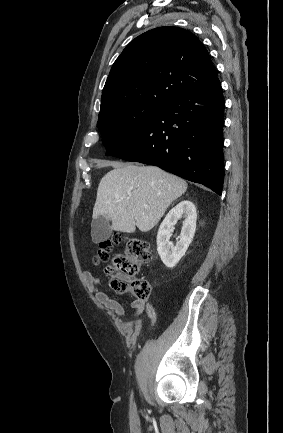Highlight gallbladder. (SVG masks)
Returning <instances> with one entry per match:
<instances>
[{"instance_id": "obj_1", "label": "gallbladder", "mask_w": 283, "mask_h": 433, "mask_svg": "<svg viewBox=\"0 0 283 433\" xmlns=\"http://www.w3.org/2000/svg\"><path fill=\"white\" fill-rule=\"evenodd\" d=\"M111 227L109 225V219L106 217H102V214H99L97 219H93L91 223V237L93 243H103V241H107L111 235Z\"/></svg>"}]
</instances>
